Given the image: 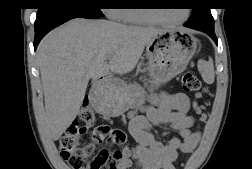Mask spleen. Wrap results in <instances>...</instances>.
I'll use <instances>...</instances> for the list:
<instances>
[{
    "label": "spleen",
    "mask_w": 252,
    "mask_h": 169,
    "mask_svg": "<svg viewBox=\"0 0 252 169\" xmlns=\"http://www.w3.org/2000/svg\"><path fill=\"white\" fill-rule=\"evenodd\" d=\"M197 67L204 82L207 84H212L215 79L213 60L209 59V61H205L201 59L198 61Z\"/></svg>",
    "instance_id": "1"
}]
</instances>
